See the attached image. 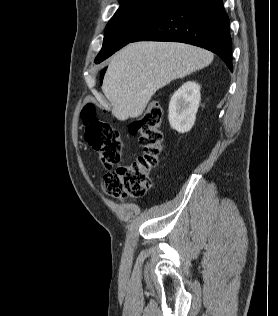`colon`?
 Listing matches in <instances>:
<instances>
[{"label": "colon", "instance_id": "colon-1", "mask_svg": "<svg viewBox=\"0 0 278 316\" xmlns=\"http://www.w3.org/2000/svg\"><path fill=\"white\" fill-rule=\"evenodd\" d=\"M162 116L161 106L152 102L143 116L131 123L130 132L139 135L143 154L131 163L120 164L124 143L119 130L102 120L92 104L84 107V138L108 169L101 184L105 195L124 199L139 198L147 193L152 185L151 173L158 166L163 152Z\"/></svg>", "mask_w": 278, "mask_h": 316}]
</instances>
